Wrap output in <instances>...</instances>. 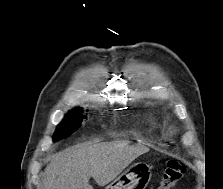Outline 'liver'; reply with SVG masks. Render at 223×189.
Returning <instances> with one entry per match:
<instances>
[{
	"label": "liver",
	"mask_w": 223,
	"mask_h": 189,
	"mask_svg": "<svg viewBox=\"0 0 223 189\" xmlns=\"http://www.w3.org/2000/svg\"><path fill=\"white\" fill-rule=\"evenodd\" d=\"M144 151L125 142L77 144L52 156L39 189H93L90 177L105 186Z\"/></svg>",
	"instance_id": "1"
}]
</instances>
